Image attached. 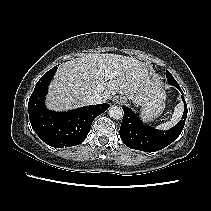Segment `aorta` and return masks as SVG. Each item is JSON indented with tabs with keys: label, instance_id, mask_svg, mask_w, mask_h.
I'll return each mask as SVG.
<instances>
[{
	"label": "aorta",
	"instance_id": "aorta-1",
	"mask_svg": "<svg viewBox=\"0 0 211 211\" xmlns=\"http://www.w3.org/2000/svg\"><path fill=\"white\" fill-rule=\"evenodd\" d=\"M109 116L114 119H121L123 117V110L118 106H111L108 110Z\"/></svg>",
	"mask_w": 211,
	"mask_h": 211
}]
</instances>
